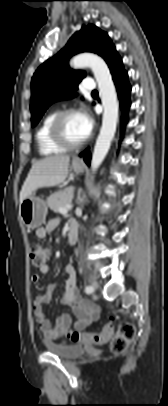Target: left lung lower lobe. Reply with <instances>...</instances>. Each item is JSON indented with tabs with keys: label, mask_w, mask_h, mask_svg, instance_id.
<instances>
[{
	"label": "left lung lower lobe",
	"mask_w": 168,
	"mask_h": 406,
	"mask_svg": "<svg viewBox=\"0 0 168 406\" xmlns=\"http://www.w3.org/2000/svg\"><path fill=\"white\" fill-rule=\"evenodd\" d=\"M114 83L117 88L118 97L120 100V107L122 109V129L121 134L123 133L124 126L128 120L127 112L130 107V92L131 86L128 83V74L123 68L122 59L118 54H116L111 61L108 63ZM80 157H84V160L87 164H90V152L89 149H86L80 153Z\"/></svg>",
	"instance_id": "obj_1"
}]
</instances>
